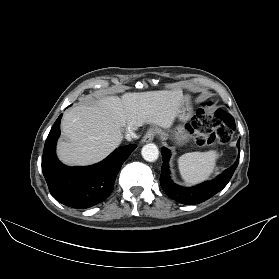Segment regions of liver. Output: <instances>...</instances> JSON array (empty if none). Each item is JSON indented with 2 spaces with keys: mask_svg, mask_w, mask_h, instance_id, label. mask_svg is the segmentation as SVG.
I'll return each mask as SVG.
<instances>
[{
  "mask_svg": "<svg viewBox=\"0 0 279 279\" xmlns=\"http://www.w3.org/2000/svg\"><path fill=\"white\" fill-rule=\"evenodd\" d=\"M183 102L177 88L103 96L76 106L63 116L61 130L69 141L58 142L57 155L70 166L97 163L120 145L124 127L152 123L169 129Z\"/></svg>",
  "mask_w": 279,
  "mask_h": 279,
  "instance_id": "1",
  "label": "liver"
}]
</instances>
